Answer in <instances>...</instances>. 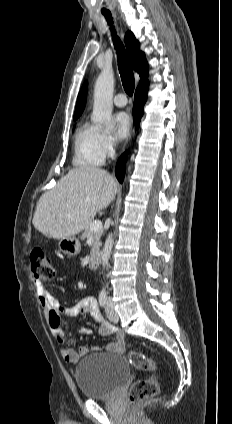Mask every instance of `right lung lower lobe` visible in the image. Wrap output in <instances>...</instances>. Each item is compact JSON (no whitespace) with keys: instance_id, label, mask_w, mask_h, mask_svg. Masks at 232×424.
<instances>
[{"instance_id":"obj_1","label":"right lung lower lobe","mask_w":232,"mask_h":424,"mask_svg":"<svg viewBox=\"0 0 232 424\" xmlns=\"http://www.w3.org/2000/svg\"><path fill=\"white\" fill-rule=\"evenodd\" d=\"M147 89H148V83L139 86L135 92L133 117L137 127L139 126L140 119L143 115V107L147 97V93H146ZM127 154H128L127 152L122 154L116 164L115 175L120 182H122L124 178Z\"/></svg>"}]
</instances>
